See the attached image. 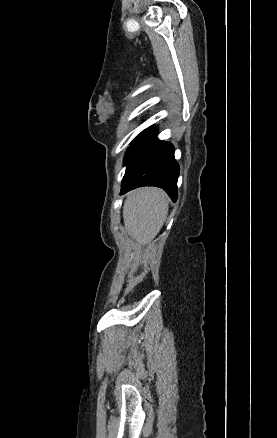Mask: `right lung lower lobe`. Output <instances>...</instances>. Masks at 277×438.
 Instances as JSON below:
<instances>
[{"mask_svg":"<svg viewBox=\"0 0 277 438\" xmlns=\"http://www.w3.org/2000/svg\"><path fill=\"white\" fill-rule=\"evenodd\" d=\"M179 166L174 159V147L154 137L125 174L121 194L142 186L163 188L172 201L177 200Z\"/></svg>","mask_w":277,"mask_h":438,"instance_id":"1","label":"right lung lower lobe"}]
</instances>
